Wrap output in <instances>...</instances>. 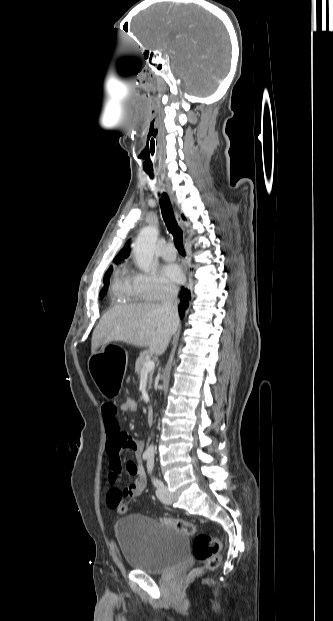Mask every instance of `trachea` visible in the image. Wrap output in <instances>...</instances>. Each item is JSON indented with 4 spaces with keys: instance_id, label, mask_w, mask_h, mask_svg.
Masks as SVG:
<instances>
[{
    "instance_id": "3493384b",
    "label": "trachea",
    "mask_w": 333,
    "mask_h": 621,
    "mask_svg": "<svg viewBox=\"0 0 333 621\" xmlns=\"http://www.w3.org/2000/svg\"><path fill=\"white\" fill-rule=\"evenodd\" d=\"M149 177L152 179L153 174L148 172ZM160 206L162 217L166 224V227L170 233H172L174 237V243L181 254H185L184 246H183V238L182 231L177 227V222L175 220L174 212L172 209V205L167 193L163 192L160 198Z\"/></svg>"
}]
</instances>
